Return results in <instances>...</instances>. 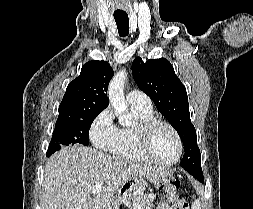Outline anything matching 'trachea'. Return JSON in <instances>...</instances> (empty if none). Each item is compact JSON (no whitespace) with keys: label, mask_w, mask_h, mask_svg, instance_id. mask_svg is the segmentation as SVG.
I'll return each instance as SVG.
<instances>
[{"label":"trachea","mask_w":253,"mask_h":209,"mask_svg":"<svg viewBox=\"0 0 253 209\" xmlns=\"http://www.w3.org/2000/svg\"><path fill=\"white\" fill-rule=\"evenodd\" d=\"M118 33L121 37H126L129 33V18L128 15H115L114 16Z\"/></svg>","instance_id":"3493384b"}]
</instances>
